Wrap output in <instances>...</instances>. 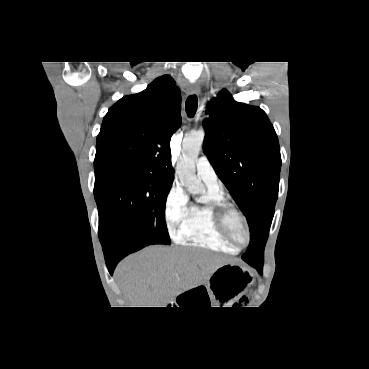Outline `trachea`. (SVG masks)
<instances>
[{
  "mask_svg": "<svg viewBox=\"0 0 369 369\" xmlns=\"http://www.w3.org/2000/svg\"><path fill=\"white\" fill-rule=\"evenodd\" d=\"M186 112L189 117H193L197 111L198 99L196 95H191L186 100Z\"/></svg>",
  "mask_w": 369,
  "mask_h": 369,
  "instance_id": "obj_1",
  "label": "trachea"
}]
</instances>
